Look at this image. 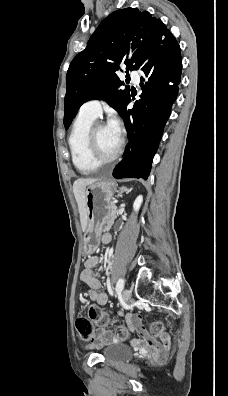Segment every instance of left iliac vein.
I'll return each mask as SVG.
<instances>
[{"mask_svg":"<svg viewBox=\"0 0 228 396\" xmlns=\"http://www.w3.org/2000/svg\"><path fill=\"white\" fill-rule=\"evenodd\" d=\"M131 297V291L129 289H124L122 292V298L125 302L129 301Z\"/></svg>","mask_w":228,"mask_h":396,"instance_id":"1","label":"left iliac vein"}]
</instances>
